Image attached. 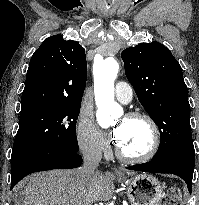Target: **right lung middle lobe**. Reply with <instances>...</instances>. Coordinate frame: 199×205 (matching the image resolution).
<instances>
[{"label": "right lung middle lobe", "instance_id": "1", "mask_svg": "<svg viewBox=\"0 0 199 205\" xmlns=\"http://www.w3.org/2000/svg\"><path fill=\"white\" fill-rule=\"evenodd\" d=\"M80 106L81 104L42 105L21 111L11 161L53 146L77 152L76 120Z\"/></svg>", "mask_w": 199, "mask_h": 205}]
</instances>
